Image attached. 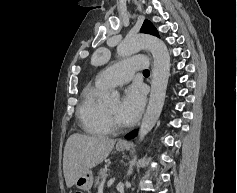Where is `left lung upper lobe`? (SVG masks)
Instances as JSON below:
<instances>
[{
    "label": "left lung upper lobe",
    "mask_w": 237,
    "mask_h": 193,
    "mask_svg": "<svg viewBox=\"0 0 237 193\" xmlns=\"http://www.w3.org/2000/svg\"><path fill=\"white\" fill-rule=\"evenodd\" d=\"M141 32L142 33H148V34L155 35V36L159 37L157 29L148 20L144 21V23H143V25L141 27Z\"/></svg>",
    "instance_id": "5c2ea615"
}]
</instances>
